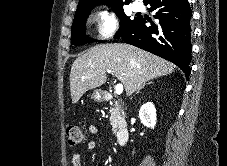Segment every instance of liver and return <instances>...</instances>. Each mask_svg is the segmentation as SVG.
Segmentation results:
<instances>
[{"label": "liver", "instance_id": "6515ba94", "mask_svg": "<svg viewBox=\"0 0 227 166\" xmlns=\"http://www.w3.org/2000/svg\"><path fill=\"white\" fill-rule=\"evenodd\" d=\"M176 66L152 53L124 43L100 44L78 56L70 72L72 103L89 90L106 82L111 70L124 85L126 95L140 90L146 82L171 74Z\"/></svg>", "mask_w": 227, "mask_h": 166}]
</instances>
